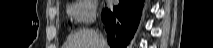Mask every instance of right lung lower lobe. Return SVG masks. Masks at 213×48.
<instances>
[{
    "label": "right lung lower lobe",
    "instance_id": "98d812e1",
    "mask_svg": "<svg viewBox=\"0 0 213 48\" xmlns=\"http://www.w3.org/2000/svg\"><path fill=\"white\" fill-rule=\"evenodd\" d=\"M113 10H102L111 48H125L137 28L144 0H119Z\"/></svg>",
    "mask_w": 213,
    "mask_h": 48
}]
</instances>
